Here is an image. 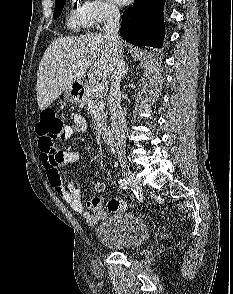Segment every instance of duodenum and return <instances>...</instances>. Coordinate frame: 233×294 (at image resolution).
<instances>
[{
	"label": "duodenum",
	"instance_id": "1",
	"mask_svg": "<svg viewBox=\"0 0 233 294\" xmlns=\"http://www.w3.org/2000/svg\"><path fill=\"white\" fill-rule=\"evenodd\" d=\"M76 89L78 90L79 87H77ZM101 137H102L103 142L106 145H109V146L114 145L115 139H114L112 132L109 129H103V131L101 133Z\"/></svg>",
	"mask_w": 233,
	"mask_h": 294
}]
</instances>
